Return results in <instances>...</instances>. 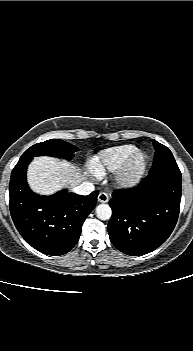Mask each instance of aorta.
Returning a JSON list of instances; mask_svg holds the SVG:
<instances>
[{
    "mask_svg": "<svg viewBox=\"0 0 193 351\" xmlns=\"http://www.w3.org/2000/svg\"><path fill=\"white\" fill-rule=\"evenodd\" d=\"M112 215V209L108 204H100L96 207V216L100 220H109Z\"/></svg>",
    "mask_w": 193,
    "mask_h": 351,
    "instance_id": "aorta-1",
    "label": "aorta"
}]
</instances>
